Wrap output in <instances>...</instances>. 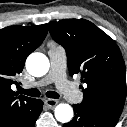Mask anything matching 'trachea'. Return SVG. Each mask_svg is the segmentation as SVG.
I'll return each instance as SVG.
<instances>
[{"label":"trachea","mask_w":127,"mask_h":127,"mask_svg":"<svg viewBox=\"0 0 127 127\" xmlns=\"http://www.w3.org/2000/svg\"><path fill=\"white\" fill-rule=\"evenodd\" d=\"M19 92L31 97H39L40 96V91L38 89H23V88H19ZM46 96L48 98H59L60 95L54 91H48L46 92Z\"/></svg>","instance_id":"3493384b"}]
</instances>
